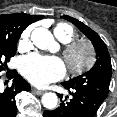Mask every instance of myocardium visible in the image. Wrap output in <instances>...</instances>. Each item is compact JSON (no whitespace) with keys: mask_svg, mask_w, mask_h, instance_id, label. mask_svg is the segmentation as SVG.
<instances>
[{"mask_svg":"<svg viewBox=\"0 0 117 117\" xmlns=\"http://www.w3.org/2000/svg\"><path fill=\"white\" fill-rule=\"evenodd\" d=\"M64 59L70 71L79 75L89 69L95 62V51L87 40H72L63 48Z\"/></svg>","mask_w":117,"mask_h":117,"instance_id":"f54148a6","label":"myocardium"}]
</instances>
